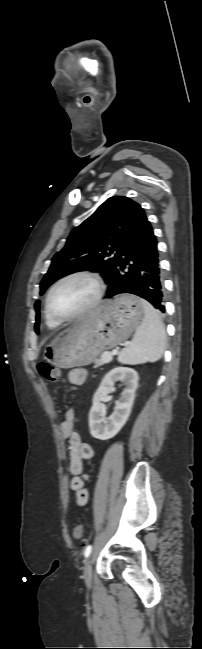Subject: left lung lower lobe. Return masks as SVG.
Instances as JSON below:
<instances>
[{"mask_svg": "<svg viewBox=\"0 0 202 649\" xmlns=\"http://www.w3.org/2000/svg\"><path fill=\"white\" fill-rule=\"evenodd\" d=\"M158 249L153 229L142 217L124 241L120 257L110 281L111 290L105 298L131 293L148 300L162 313V277Z\"/></svg>", "mask_w": 202, "mask_h": 649, "instance_id": "left-lung-lower-lobe-1", "label": "left lung lower lobe"}]
</instances>
